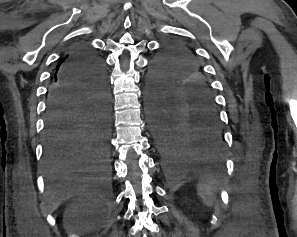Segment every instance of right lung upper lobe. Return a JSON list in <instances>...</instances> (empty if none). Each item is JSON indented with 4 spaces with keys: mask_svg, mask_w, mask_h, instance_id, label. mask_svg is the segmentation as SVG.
<instances>
[{
    "mask_svg": "<svg viewBox=\"0 0 297 237\" xmlns=\"http://www.w3.org/2000/svg\"><path fill=\"white\" fill-rule=\"evenodd\" d=\"M63 64V59H62V62L60 63V64H58L57 65V70H56V72H55V74H54V77L52 78V81H56L57 80V77H58V75H59V71H60V66Z\"/></svg>",
    "mask_w": 297,
    "mask_h": 237,
    "instance_id": "1",
    "label": "right lung upper lobe"
}]
</instances>
